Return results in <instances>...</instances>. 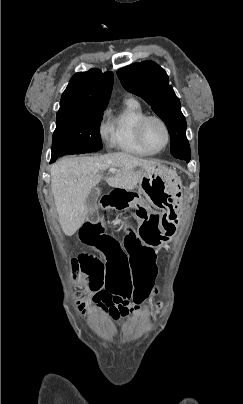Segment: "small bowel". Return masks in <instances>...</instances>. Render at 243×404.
Returning a JSON list of instances; mask_svg holds the SVG:
<instances>
[{
	"instance_id": "small-bowel-1",
	"label": "small bowel",
	"mask_w": 243,
	"mask_h": 404,
	"mask_svg": "<svg viewBox=\"0 0 243 404\" xmlns=\"http://www.w3.org/2000/svg\"><path fill=\"white\" fill-rule=\"evenodd\" d=\"M80 237L84 244L99 252V255L83 252L75 259L89 276L91 302L95 308L113 321L138 314L141 307L132 306L130 299L137 298L139 304L156 291L155 250L144 246L132 231L121 244L105 234L98 220L87 221Z\"/></svg>"
}]
</instances>
